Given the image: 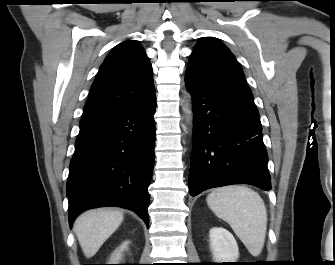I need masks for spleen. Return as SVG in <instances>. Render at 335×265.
Returning <instances> with one entry per match:
<instances>
[{"mask_svg":"<svg viewBox=\"0 0 335 265\" xmlns=\"http://www.w3.org/2000/svg\"><path fill=\"white\" fill-rule=\"evenodd\" d=\"M209 208L227 222L252 256L260 255L266 237L267 211L263 199L251 188L231 185L213 190Z\"/></svg>","mask_w":335,"mask_h":265,"instance_id":"obj_1","label":"spleen"}]
</instances>
